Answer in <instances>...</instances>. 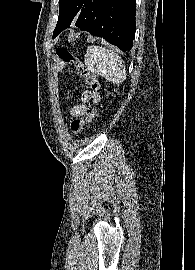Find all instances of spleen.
Instances as JSON below:
<instances>
[{"label": "spleen", "instance_id": "spleen-1", "mask_svg": "<svg viewBox=\"0 0 195 270\" xmlns=\"http://www.w3.org/2000/svg\"><path fill=\"white\" fill-rule=\"evenodd\" d=\"M87 68L107 81L119 84L126 80V66L114 51L102 46H89L85 54Z\"/></svg>", "mask_w": 195, "mask_h": 270}]
</instances>
